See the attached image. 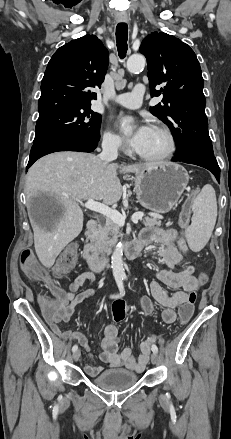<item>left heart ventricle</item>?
Returning a JSON list of instances; mask_svg holds the SVG:
<instances>
[{"label":"left heart ventricle","mask_w":231,"mask_h":439,"mask_svg":"<svg viewBox=\"0 0 231 439\" xmlns=\"http://www.w3.org/2000/svg\"><path fill=\"white\" fill-rule=\"evenodd\" d=\"M168 148V141L166 136L159 130L151 128L148 136L137 152L155 156L164 153Z\"/></svg>","instance_id":"obj_1"}]
</instances>
